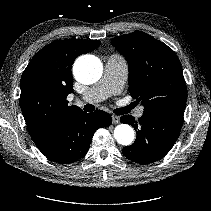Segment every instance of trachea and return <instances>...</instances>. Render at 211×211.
<instances>
[{"mask_svg":"<svg viewBox=\"0 0 211 211\" xmlns=\"http://www.w3.org/2000/svg\"><path fill=\"white\" fill-rule=\"evenodd\" d=\"M134 106H135V104H131L129 109L134 108ZM84 110L87 111V112H92V111L95 110V107L92 104H86L84 106ZM114 112L117 113V114H124L126 112V110L116 109Z\"/></svg>","mask_w":211,"mask_h":211,"instance_id":"trachea-1","label":"trachea"}]
</instances>
